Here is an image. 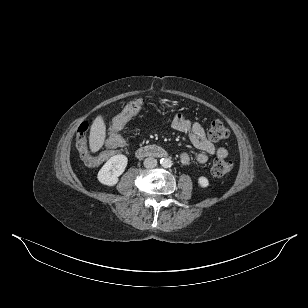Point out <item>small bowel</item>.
Segmentation results:
<instances>
[{
    "mask_svg": "<svg viewBox=\"0 0 308 308\" xmlns=\"http://www.w3.org/2000/svg\"><path fill=\"white\" fill-rule=\"evenodd\" d=\"M171 126L174 130L187 134L191 143L200 150V153L196 156V161L199 164H205L208 161V155H216L219 158L227 157V149L215 146L199 123L179 114L172 120ZM190 159V155L187 152L180 154L182 164L187 165Z\"/></svg>",
    "mask_w": 308,
    "mask_h": 308,
    "instance_id": "1",
    "label": "small bowel"
}]
</instances>
